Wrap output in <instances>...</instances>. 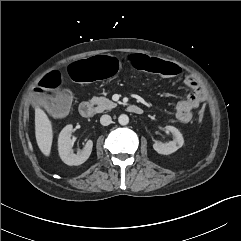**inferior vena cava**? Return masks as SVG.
<instances>
[{
	"instance_id": "obj_1",
	"label": "inferior vena cava",
	"mask_w": 241,
	"mask_h": 241,
	"mask_svg": "<svg viewBox=\"0 0 241 241\" xmlns=\"http://www.w3.org/2000/svg\"><path fill=\"white\" fill-rule=\"evenodd\" d=\"M112 122L111 116L109 115H102L100 118V123L103 126H108Z\"/></svg>"
}]
</instances>
